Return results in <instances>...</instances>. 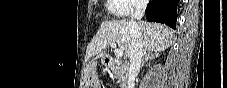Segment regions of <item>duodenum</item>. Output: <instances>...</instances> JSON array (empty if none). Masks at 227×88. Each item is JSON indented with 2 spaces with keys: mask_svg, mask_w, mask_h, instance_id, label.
I'll list each match as a JSON object with an SVG mask.
<instances>
[{
  "mask_svg": "<svg viewBox=\"0 0 227 88\" xmlns=\"http://www.w3.org/2000/svg\"><path fill=\"white\" fill-rule=\"evenodd\" d=\"M106 61H107V62H106V65H108V64H109V62H112V60H111V59H107Z\"/></svg>",
  "mask_w": 227,
  "mask_h": 88,
  "instance_id": "obj_1",
  "label": "duodenum"
}]
</instances>
